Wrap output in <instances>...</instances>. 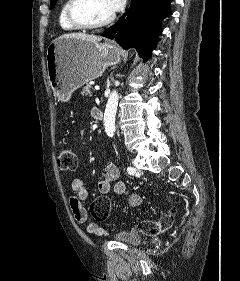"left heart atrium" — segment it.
<instances>
[{
  "mask_svg": "<svg viewBox=\"0 0 240 281\" xmlns=\"http://www.w3.org/2000/svg\"><path fill=\"white\" fill-rule=\"evenodd\" d=\"M107 2L113 12L120 10L125 4V0H107Z\"/></svg>",
  "mask_w": 240,
  "mask_h": 281,
  "instance_id": "left-heart-atrium-1",
  "label": "left heart atrium"
}]
</instances>
